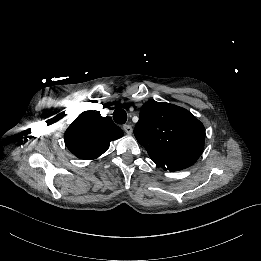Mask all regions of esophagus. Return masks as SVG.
<instances>
[{
    "instance_id": "1",
    "label": "esophagus",
    "mask_w": 261,
    "mask_h": 261,
    "mask_svg": "<svg viewBox=\"0 0 261 261\" xmlns=\"http://www.w3.org/2000/svg\"><path fill=\"white\" fill-rule=\"evenodd\" d=\"M123 129H124V131L127 133V134H132V132H133V128H132V126L131 125H129V124H126V125H124L123 126Z\"/></svg>"
}]
</instances>
